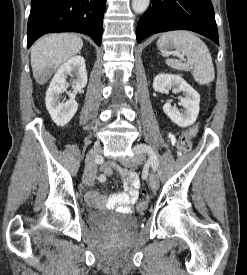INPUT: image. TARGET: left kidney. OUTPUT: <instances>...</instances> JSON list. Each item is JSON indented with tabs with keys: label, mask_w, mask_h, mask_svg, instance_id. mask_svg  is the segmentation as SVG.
I'll return each instance as SVG.
<instances>
[{
	"label": "left kidney",
	"mask_w": 247,
	"mask_h": 275,
	"mask_svg": "<svg viewBox=\"0 0 247 275\" xmlns=\"http://www.w3.org/2000/svg\"><path fill=\"white\" fill-rule=\"evenodd\" d=\"M172 86L184 93L185 97L180 101L184 110H179L167 102L163 111L178 126H190L196 121L199 113L200 95L179 75L159 74L154 78L153 88L156 92L165 93Z\"/></svg>",
	"instance_id": "1"
}]
</instances>
